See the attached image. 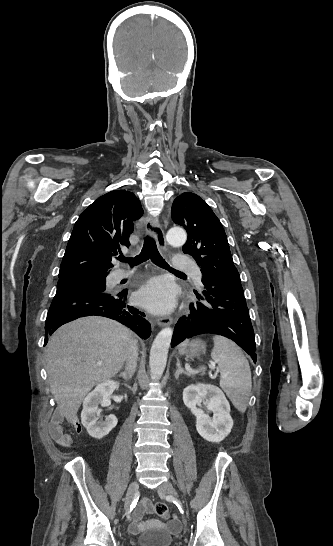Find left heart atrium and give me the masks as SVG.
Listing matches in <instances>:
<instances>
[{
	"mask_svg": "<svg viewBox=\"0 0 333 546\" xmlns=\"http://www.w3.org/2000/svg\"><path fill=\"white\" fill-rule=\"evenodd\" d=\"M137 300L154 313H165L174 306V288L164 279H153L137 292Z\"/></svg>",
	"mask_w": 333,
	"mask_h": 546,
	"instance_id": "1",
	"label": "left heart atrium"
}]
</instances>
